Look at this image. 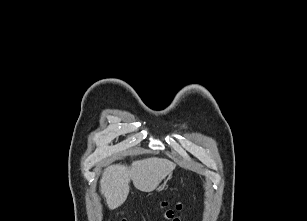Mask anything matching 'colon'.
<instances>
[{
  "instance_id": "1",
  "label": "colon",
  "mask_w": 307,
  "mask_h": 221,
  "mask_svg": "<svg viewBox=\"0 0 307 221\" xmlns=\"http://www.w3.org/2000/svg\"><path fill=\"white\" fill-rule=\"evenodd\" d=\"M179 206H180L179 204H176V208H179ZM162 207H163V208H167V207H168V203H167V202H163V203H162ZM164 215H165V217H167V218L172 217V216H173V210H171V209H166ZM120 221H128L127 216L123 215V216L121 217Z\"/></svg>"
}]
</instances>
